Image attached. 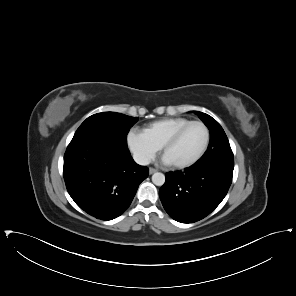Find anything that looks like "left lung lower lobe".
Listing matches in <instances>:
<instances>
[{
    "label": "left lung lower lobe",
    "instance_id": "obj_1",
    "mask_svg": "<svg viewBox=\"0 0 296 296\" xmlns=\"http://www.w3.org/2000/svg\"><path fill=\"white\" fill-rule=\"evenodd\" d=\"M234 160L194 164L183 172L166 174L159 196L176 221L193 223L210 214L224 199L232 182Z\"/></svg>",
    "mask_w": 296,
    "mask_h": 296
}]
</instances>
